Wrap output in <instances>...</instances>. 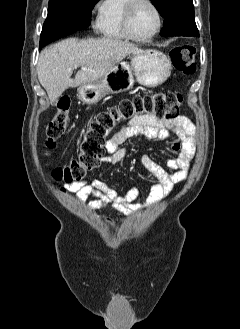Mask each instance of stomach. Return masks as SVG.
<instances>
[{
  "mask_svg": "<svg viewBox=\"0 0 240 329\" xmlns=\"http://www.w3.org/2000/svg\"><path fill=\"white\" fill-rule=\"evenodd\" d=\"M168 57L155 49L143 50L131 55V63L119 62L97 81L81 85L79 98L86 104L98 103L105 95L131 89L136 81L145 87H157L171 74Z\"/></svg>",
  "mask_w": 240,
  "mask_h": 329,
  "instance_id": "obj_1",
  "label": "stomach"
}]
</instances>
